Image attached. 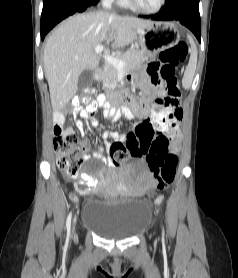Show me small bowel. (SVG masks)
Returning <instances> with one entry per match:
<instances>
[{
  "label": "small bowel",
  "mask_w": 238,
  "mask_h": 278,
  "mask_svg": "<svg viewBox=\"0 0 238 278\" xmlns=\"http://www.w3.org/2000/svg\"><path fill=\"white\" fill-rule=\"evenodd\" d=\"M162 69L163 64H161V59H156V56L152 55L151 59H149L148 67L145 68V75L143 73H136L133 75V78L136 79L138 84L144 90V96L140 103L134 102L133 100H126L124 105L115 106L112 101H110L105 95L101 94L96 99V106L102 108L103 116L113 122L118 121L122 117L126 119H132L135 116L149 118V99L159 98V93H152L153 89H164L163 76H160ZM146 76H152V80L148 81ZM72 115L77 129L80 131L83 129V122L80 118L88 120L91 126L95 128L99 127L100 125L98 119L94 116V111H89L87 109H76L73 111ZM181 117V110L177 107V105H175L173 127L171 130L161 135L156 133V127H141L150 125L151 121L149 119L141 124L136 125L127 134L104 131L102 133L104 146L98 147L93 155L84 153L83 160L88 161L93 157L107 162V159L103 155L105 149L110 150L111 146L115 143L128 144L130 142H139L140 137H152L151 144H169L171 152H175L180 146L179 122ZM64 122L65 114L63 112L56 111L53 114L54 132L57 133L61 131L63 133H74L72 128H64ZM109 139H113L114 142H110ZM81 146L83 151L87 152L89 143L86 140H83L81 142ZM153 187L154 182L152 180H148L146 189H151ZM77 190L82 192L85 190V188L81 184H78ZM70 198L73 200L77 199L76 195L74 194H71Z\"/></svg>",
  "instance_id": "1"
}]
</instances>
